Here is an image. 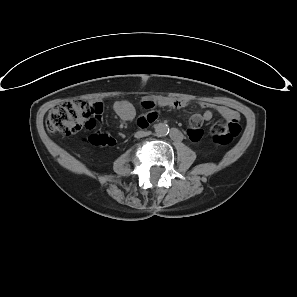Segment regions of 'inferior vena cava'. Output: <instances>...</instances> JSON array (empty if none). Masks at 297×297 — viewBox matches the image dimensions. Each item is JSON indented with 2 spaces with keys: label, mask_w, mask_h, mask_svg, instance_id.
Here are the masks:
<instances>
[{
  "label": "inferior vena cava",
  "mask_w": 297,
  "mask_h": 297,
  "mask_svg": "<svg viewBox=\"0 0 297 297\" xmlns=\"http://www.w3.org/2000/svg\"><path fill=\"white\" fill-rule=\"evenodd\" d=\"M150 134H151L150 131H138V132L135 133L134 136H135L136 138H141V137L148 136V135H150Z\"/></svg>",
  "instance_id": "inferior-vena-cava-1"
}]
</instances>
